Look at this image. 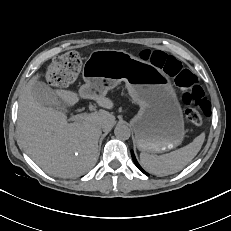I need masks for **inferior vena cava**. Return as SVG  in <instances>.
Masks as SVG:
<instances>
[{"mask_svg":"<svg viewBox=\"0 0 231 231\" xmlns=\"http://www.w3.org/2000/svg\"><path fill=\"white\" fill-rule=\"evenodd\" d=\"M99 128H100V129H103V128H104V125H103V124H100V125H99Z\"/></svg>","mask_w":231,"mask_h":231,"instance_id":"1","label":"inferior vena cava"}]
</instances>
